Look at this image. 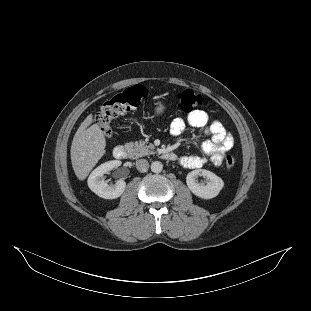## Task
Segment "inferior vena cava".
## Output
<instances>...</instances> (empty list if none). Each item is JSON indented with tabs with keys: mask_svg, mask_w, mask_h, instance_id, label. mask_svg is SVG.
Masks as SVG:
<instances>
[{
	"mask_svg": "<svg viewBox=\"0 0 311 311\" xmlns=\"http://www.w3.org/2000/svg\"><path fill=\"white\" fill-rule=\"evenodd\" d=\"M136 167L139 172H147L149 169V163L145 159H140L136 162Z\"/></svg>",
	"mask_w": 311,
	"mask_h": 311,
	"instance_id": "1",
	"label": "inferior vena cava"
}]
</instances>
